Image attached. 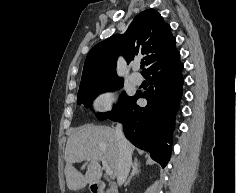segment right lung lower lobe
Returning <instances> with one entry per match:
<instances>
[{
  "mask_svg": "<svg viewBox=\"0 0 237 193\" xmlns=\"http://www.w3.org/2000/svg\"><path fill=\"white\" fill-rule=\"evenodd\" d=\"M177 51L152 65L144 76L150 82L147 91L137 92L126 106L109 117L124 125L126 138L136 147L150 152L163 168L169 161L175 114L182 95L183 64ZM146 98L147 106L139 107L138 98Z\"/></svg>",
  "mask_w": 237,
  "mask_h": 193,
  "instance_id": "1",
  "label": "right lung lower lobe"
}]
</instances>
